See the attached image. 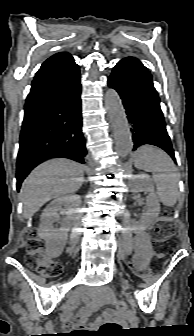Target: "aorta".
<instances>
[{
	"label": "aorta",
	"instance_id": "aorta-1",
	"mask_svg": "<svg viewBox=\"0 0 194 336\" xmlns=\"http://www.w3.org/2000/svg\"><path fill=\"white\" fill-rule=\"evenodd\" d=\"M105 108L113 128L116 152L119 156L125 157L130 153L133 141L125 109L114 89L106 91Z\"/></svg>",
	"mask_w": 194,
	"mask_h": 336
}]
</instances>
